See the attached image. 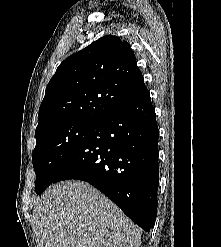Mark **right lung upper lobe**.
Returning <instances> with one entry per match:
<instances>
[{
    "mask_svg": "<svg viewBox=\"0 0 221 247\" xmlns=\"http://www.w3.org/2000/svg\"><path fill=\"white\" fill-rule=\"evenodd\" d=\"M146 90L129 43L104 36L59 65L40 105L35 134L71 122L98 124Z\"/></svg>",
    "mask_w": 221,
    "mask_h": 247,
    "instance_id": "obj_1",
    "label": "right lung upper lobe"
}]
</instances>
